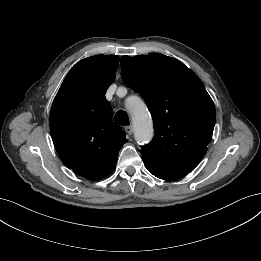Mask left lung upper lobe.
I'll list each match as a JSON object with an SVG mask.
<instances>
[{
    "mask_svg": "<svg viewBox=\"0 0 261 261\" xmlns=\"http://www.w3.org/2000/svg\"><path fill=\"white\" fill-rule=\"evenodd\" d=\"M122 80L147 103L154 138L141 149L143 161L191 172L212 139L214 103L196 74L179 60L153 53L121 58Z\"/></svg>",
    "mask_w": 261,
    "mask_h": 261,
    "instance_id": "obj_1",
    "label": "left lung upper lobe"
}]
</instances>
